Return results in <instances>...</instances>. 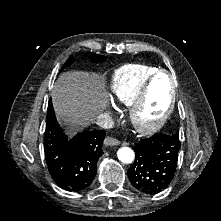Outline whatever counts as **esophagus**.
Wrapping results in <instances>:
<instances>
[{
    "mask_svg": "<svg viewBox=\"0 0 221 221\" xmlns=\"http://www.w3.org/2000/svg\"><path fill=\"white\" fill-rule=\"evenodd\" d=\"M104 143H105V145H108V146H115V145H118L120 142L113 137L107 136L104 139Z\"/></svg>",
    "mask_w": 221,
    "mask_h": 221,
    "instance_id": "34e87169",
    "label": "esophagus"
}]
</instances>
